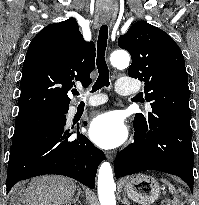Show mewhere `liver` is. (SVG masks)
I'll use <instances>...</instances> for the list:
<instances>
[{"instance_id": "obj_1", "label": "liver", "mask_w": 199, "mask_h": 205, "mask_svg": "<svg viewBox=\"0 0 199 205\" xmlns=\"http://www.w3.org/2000/svg\"><path fill=\"white\" fill-rule=\"evenodd\" d=\"M75 182L62 176H41L28 184L23 200L26 205H70L74 202Z\"/></svg>"}]
</instances>
